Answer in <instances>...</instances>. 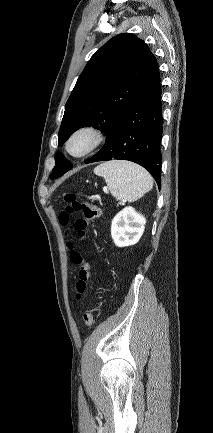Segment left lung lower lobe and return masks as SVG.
<instances>
[{"label": "left lung lower lobe", "mask_w": 213, "mask_h": 433, "mask_svg": "<svg viewBox=\"0 0 213 433\" xmlns=\"http://www.w3.org/2000/svg\"><path fill=\"white\" fill-rule=\"evenodd\" d=\"M159 66L153 70L114 123L103 148L86 163L122 159L147 169L161 188L163 133Z\"/></svg>", "instance_id": "obj_1"}]
</instances>
